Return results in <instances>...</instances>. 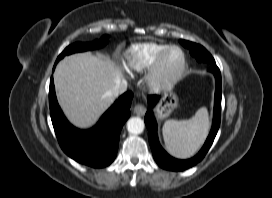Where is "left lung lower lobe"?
<instances>
[{
  "mask_svg": "<svg viewBox=\"0 0 272 198\" xmlns=\"http://www.w3.org/2000/svg\"><path fill=\"white\" fill-rule=\"evenodd\" d=\"M212 72L216 79V91H215V106H214V118H213V126L211 132L202 147L199 153L191 159L188 160H178L171 156H169L160 146L158 137H157V124L153 115L152 110H149L145 116V124L148 128V138L150 142V146L152 149V153L154 156L155 161L158 165L164 169L172 170V171H181L188 169L199 161H201L206 153L208 152L209 148L211 147L214 138L217 134V131L220 126V117H221V73L219 68L214 65L208 69ZM148 103L149 106L152 108L156 105L159 100V96L157 95H150L148 96Z\"/></svg>",
  "mask_w": 272,
  "mask_h": 198,
  "instance_id": "left-lung-lower-lobe-1",
  "label": "left lung lower lobe"
}]
</instances>
